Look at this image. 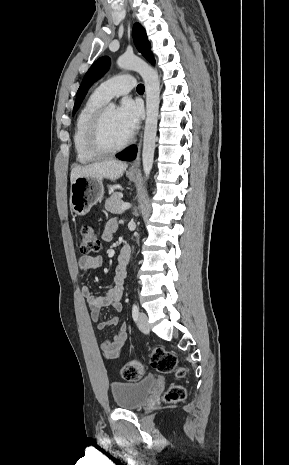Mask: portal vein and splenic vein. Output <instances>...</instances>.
Instances as JSON below:
<instances>
[{
  "instance_id": "portal-vein-and-splenic-vein-1",
  "label": "portal vein and splenic vein",
  "mask_w": 289,
  "mask_h": 465,
  "mask_svg": "<svg viewBox=\"0 0 289 465\" xmlns=\"http://www.w3.org/2000/svg\"><path fill=\"white\" fill-rule=\"evenodd\" d=\"M130 206H131L130 203H123V204L121 205V209H122V210H127V209L130 208Z\"/></svg>"
}]
</instances>
